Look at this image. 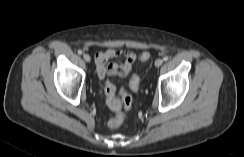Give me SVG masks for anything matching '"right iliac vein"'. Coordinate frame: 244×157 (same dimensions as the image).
Wrapping results in <instances>:
<instances>
[{"instance_id":"63e3f726","label":"right iliac vein","mask_w":244,"mask_h":157,"mask_svg":"<svg viewBox=\"0 0 244 157\" xmlns=\"http://www.w3.org/2000/svg\"><path fill=\"white\" fill-rule=\"evenodd\" d=\"M83 58H84V60H85L86 62H90V60H91V58H90V56H89L88 54H84V55H83Z\"/></svg>"}]
</instances>
